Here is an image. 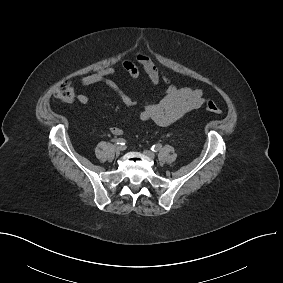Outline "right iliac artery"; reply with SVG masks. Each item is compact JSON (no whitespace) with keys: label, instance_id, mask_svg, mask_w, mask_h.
<instances>
[{"label":"right iliac artery","instance_id":"82829eb1","mask_svg":"<svg viewBox=\"0 0 283 283\" xmlns=\"http://www.w3.org/2000/svg\"><path fill=\"white\" fill-rule=\"evenodd\" d=\"M112 141L116 144H119V145H125V143H126L125 139H123V138L113 139Z\"/></svg>","mask_w":283,"mask_h":283}]
</instances>
